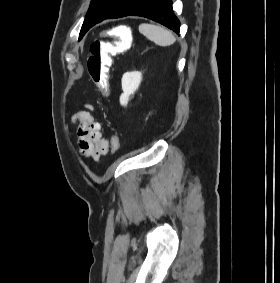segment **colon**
Returning <instances> with one entry per match:
<instances>
[{"instance_id": "5ec220e1", "label": "colon", "mask_w": 280, "mask_h": 283, "mask_svg": "<svg viewBox=\"0 0 280 283\" xmlns=\"http://www.w3.org/2000/svg\"><path fill=\"white\" fill-rule=\"evenodd\" d=\"M134 33L132 25H119L104 31L110 42L96 39L90 46V53L87 59L89 75L98 89L106 95L109 88V71L112 65V55H123L129 51L133 41ZM115 41V42H113ZM120 142H114V149H119Z\"/></svg>"}]
</instances>
